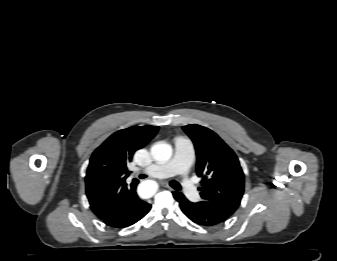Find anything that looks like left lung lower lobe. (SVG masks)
Listing matches in <instances>:
<instances>
[{
	"label": "left lung lower lobe",
	"instance_id": "0a47b994",
	"mask_svg": "<svg viewBox=\"0 0 337 261\" xmlns=\"http://www.w3.org/2000/svg\"><path fill=\"white\" fill-rule=\"evenodd\" d=\"M174 198L179 202L182 212L194 223L211 227L223 223L225 220L207 209L188 201L182 193L174 192Z\"/></svg>",
	"mask_w": 337,
	"mask_h": 261
}]
</instances>
